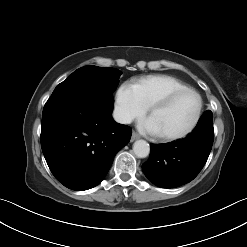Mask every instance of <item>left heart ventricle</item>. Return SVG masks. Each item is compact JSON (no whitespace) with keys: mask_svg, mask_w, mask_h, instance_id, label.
<instances>
[{"mask_svg":"<svg viewBox=\"0 0 247 247\" xmlns=\"http://www.w3.org/2000/svg\"><path fill=\"white\" fill-rule=\"evenodd\" d=\"M199 101L196 95L186 93L178 96L166 108L155 110L150 118L160 135H176L193 122Z\"/></svg>","mask_w":247,"mask_h":247,"instance_id":"left-heart-ventricle-1","label":"left heart ventricle"}]
</instances>
